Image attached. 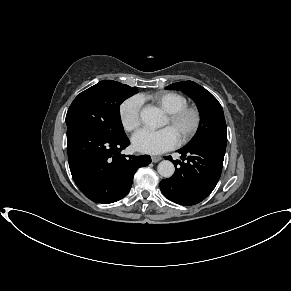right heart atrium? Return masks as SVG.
<instances>
[{
    "instance_id": "right-heart-atrium-1",
    "label": "right heart atrium",
    "mask_w": 291,
    "mask_h": 291,
    "mask_svg": "<svg viewBox=\"0 0 291 291\" xmlns=\"http://www.w3.org/2000/svg\"><path fill=\"white\" fill-rule=\"evenodd\" d=\"M141 99L134 95L126 98L119 106L118 116L122 127L127 132L137 130L141 123Z\"/></svg>"
}]
</instances>
